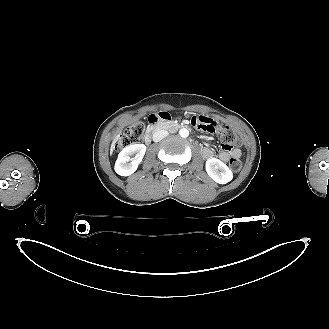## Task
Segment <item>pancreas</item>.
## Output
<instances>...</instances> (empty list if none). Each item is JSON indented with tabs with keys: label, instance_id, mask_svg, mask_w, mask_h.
<instances>
[{
	"label": "pancreas",
	"instance_id": "1",
	"mask_svg": "<svg viewBox=\"0 0 329 329\" xmlns=\"http://www.w3.org/2000/svg\"><path fill=\"white\" fill-rule=\"evenodd\" d=\"M172 126H173V125H167L166 128L168 129V128L172 127Z\"/></svg>",
	"mask_w": 329,
	"mask_h": 329
}]
</instances>
